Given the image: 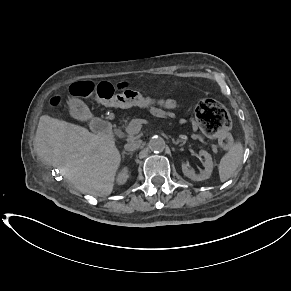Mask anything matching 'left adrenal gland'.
I'll list each match as a JSON object with an SVG mask.
<instances>
[{"mask_svg": "<svg viewBox=\"0 0 291 291\" xmlns=\"http://www.w3.org/2000/svg\"><path fill=\"white\" fill-rule=\"evenodd\" d=\"M173 141V143L175 144V145H178L180 142H184L183 140H180V139H178V140H172Z\"/></svg>", "mask_w": 291, "mask_h": 291, "instance_id": "1", "label": "left adrenal gland"}]
</instances>
